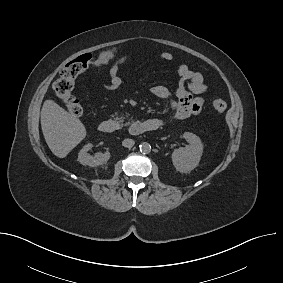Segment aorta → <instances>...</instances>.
<instances>
[{
  "mask_svg": "<svg viewBox=\"0 0 283 283\" xmlns=\"http://www.w3.org/2000/svg\"><path fill=\"white\" fill-rule=\"evenodd\" d=\"M139 149L141 153L147 154L151 151V145L148 142H142L139 145Z\"/></svg>",
  "mask_w": 283,
  "mask_h": 283,
  "instance_id": "1",
  "label": "aorta"
}]
</instances>
